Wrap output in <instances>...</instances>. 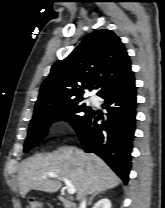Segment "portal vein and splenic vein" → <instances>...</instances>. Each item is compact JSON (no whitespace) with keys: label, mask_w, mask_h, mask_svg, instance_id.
<instances>
[{"label":"portal vein and splenic vein","mask_w":165,"mask_h":208,"mask_svg":"<svg viewBox=\"0 0 165 208\" xmlns=\"http://www.w3.org/2000/svg\"><path fill=\"white\" fill-rule=\"evenodd\" d=\"M47 177H50V178H55V177H58L57 174L55 173H47L46 175L43 176V178H47ZM60 179H62L66 185V188H67V192L70 194V195H73L75 194L76 192V189H75V186L72 184V182L65 178V177H60Z\"/></svg>","instance_id":"1"}]
</instances>
